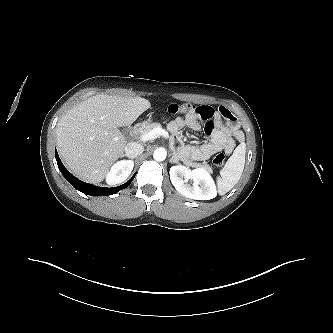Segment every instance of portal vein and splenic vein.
Instances as JSON below:
<instances>
[{
    "mask_svg": "<svg viewBox=\"0 0 333 333\" xmlns=\"http://www.w3.org/2000/svg\"><path fill=\"white\" fill-rule=\"evenodd\" d=\"M159 136H168V132H166L164 129L162 128H154L153 130H151L149 133L142 135L141 139L142 141H149V140H154L155 138L159 137Z\"/></svg>",
    "mask_w": 333,
    "mask_h": 333,
    "instance_id": "portal-vein-and-splenic-vein-1",
    "label": "portal vein and splenic vein"
}]
</instances>
